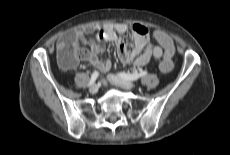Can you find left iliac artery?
Instances as JSON below:
<instances>
[{
	"label": "left iliac artery",
	"instance_id": "left-iliac-artery-1",
	"mask_svg": "<svg viewBox=\"0 0 230 155\" xmlns=\"http://www.w3.org/2000/svg\"><path fill=\"white\" fill-rule=\"evenodd\" d=\"M147 74V71H141L140 73H125V72H121L119 73V76L121 78H123L124 80H128V81H135L137 79H139L140 77H143Z\"/></svg>",
	"mask_w": 230,
	"mask_h": 155
}]
</instances>
